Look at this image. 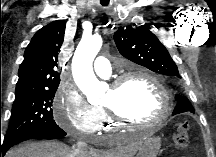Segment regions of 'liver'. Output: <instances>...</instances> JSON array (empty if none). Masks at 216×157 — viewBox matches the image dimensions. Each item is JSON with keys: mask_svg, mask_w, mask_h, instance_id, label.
<instances>
[{"mask_svg": "<svg viewBox=\"0 0 216 157\" xmlns=\"http://www.w3.org/2000/svg\"><path fill=\"white\" fill-rule=\"evenodd\" d=\"M141 143V138L132 137L125 145L114 150L103 152L88 149L82 154L58 141L28 142L9 150L6 157H133Z\"/></svg>", "mask_w": 216, "mask_h": 157, "instance_id": "obj_1", "label": "liver"}]
</instances>
